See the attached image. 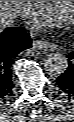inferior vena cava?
<instances>
[{
    "mask_svg": "<svg viewBox=\"0 0 74 122\" xmlns=\"http://www.w3.org/2000/svg\"><path fill=\"white\" fill-rule=\"evenodd\" d=\"M31 9H32L31 5H25L24 7L21 8L20 13L24 18H29L33 16V11Z\"/></svg>",
    "mask_w": 74,
    "mask_h": 122,
    "instance_id": "1",
    "label": "inferior vena cava"
}]
</instances>
